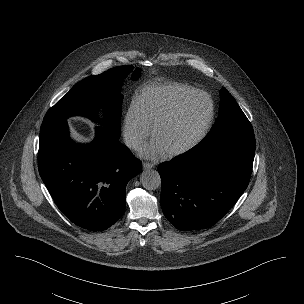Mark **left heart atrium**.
Segmentation results:
<instances>
[{"label":"left heart atrium","instance_id":"1","mask_svg":"<svg viewBox=\"0 0 304 304\" xmlns=\"http://www.w3.org/2000/svg\"><path fill=\"white\" fill-rule=\"evenodd\" d=\"M167 153L163 145L155 137L140 149V155L149 158L157 159Z\"/></svg>","mask_w":304,"mask_h":304}]
</instances>
